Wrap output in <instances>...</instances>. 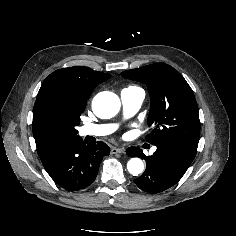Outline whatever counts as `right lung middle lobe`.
Returning a JSON list of instances; mask_svg holds the SVG:
<instances>
[{
	"mask_svg": "<svg viewBox=\"0 0 236 236\" xmlns=\"http://www.w3.org/2000/svg\"><path fill=\"white\" fill-rule=\"evenodd\" d=\"M82 109H72L57 100H47L33 109V135L35 140L58 136H75Z\"/></svg>",
	"mask_w": 236,
	"mask_h": 236,
	"instance_id": "obj_1",
	"label": "right lung middle lobe"
}]
</instances>
